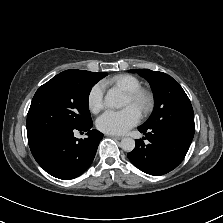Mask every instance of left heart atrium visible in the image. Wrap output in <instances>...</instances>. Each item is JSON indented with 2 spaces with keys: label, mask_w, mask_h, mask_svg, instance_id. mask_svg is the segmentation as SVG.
Returning a JSON list of instances; mask_svg holds the SVG:
<instances>
[{
  "label": "left heart atrium",
  "mask_w": 223,
  "mask_h": 223,
  "mask_svg": "<svg viewBox=\"0 0 223 223\" xmlns=\"http://www.w3.org/2000/svg\"><path fill=\"white\" fill-rule=\"evenodd\" d=\"M140 120L139 110L132 104L121 110H107L98 119V128L106 133L122 134Z\"/></svg>",
  "instance_id": "1"
}]
</instances>
